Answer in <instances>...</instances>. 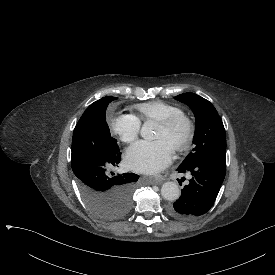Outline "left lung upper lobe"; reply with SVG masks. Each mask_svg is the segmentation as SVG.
<instances>
[{
	"label": "left lung upper lobe",
	"instance_id": "obj_1",
	"mask_svg": "<svg viewBox=\"0 0 275 275\" xmlns=\"http://www.w3.org/2000/svg\"><path fill=\"white\" fill-rule=\"evenodd\" d=\"M175 99L187 104L196 118L194 136L196 147L182 165H192L209 158L226 160L225 129L214 106L208 100L190 92L180 94Z\"/></svg>",
	"mask_w": 275,
	"mask_h": 275
}]
</instances>
